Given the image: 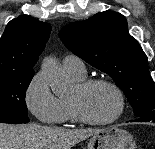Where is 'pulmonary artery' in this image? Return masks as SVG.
<instances>
[{
  "mask_svg": "<svg viewBox=\"0 0 155 149\" xmlns=\"http://www.w3.org/2000/svg\"><path fill=\"white\" fill-rule=\"evenodd\" d=\"M62 67L68 74L83 77L86 75V68L83 60L76 55H67L62 61Z\"/></svg>",
  "mask_w": 155,
  "mask_h": 149,
  "instance_id": "pulmonary-artery-1",
  "label": "pulmonary artery"
}]
</instances>
